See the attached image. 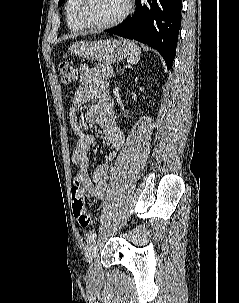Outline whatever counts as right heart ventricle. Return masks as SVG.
I'll return each mask as SVG.
<instances>
[{
	"instance_id": "obj_1",
	"label": "right heart ventricle",
	"mask_w": 239,
	"mask_h": 303,
	"mask_svg": "<svg viewBox=\"0 0 239 303\" xmlns=\"http://www.w3.org/2000/svg\"><path fill=\"white\" fill-rule=\"evenodd\" d=\"M76 0H67L65 4V17L68 27L73 31H81L85 27L77 20L74 12Z\"/></svg>"
}]
</instances>
